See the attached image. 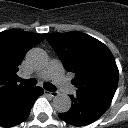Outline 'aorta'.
Instances as JSON below:
<instances>
[{"instance_id": "762f6f07", "label": "aorta", "mask_w": 128, "mask_h": 128, "mask_svg": "<svg viewBox=\"0 0 128 128\" xmlns=\"http://www.w3.org/2000/svg\"><path fill=\"white\" fill-rule=\"evenodd\" d=\"M27 60L33 66H42L46 62V56L42 49L33 48L27 53ZM72 101L67 94H57L53 98V107L59 113L68 112L71 108Z\"/></svg>"}]
</instances>
